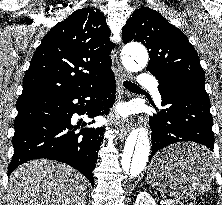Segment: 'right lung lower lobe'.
<instances>
[{
    "label": "right lung lower lobe",
    "instance_id": "98d812e1",
    "mask_svg": "<svg viewBox=\"0 0 222 205\" xmlns=\"http://www.w3.org/2000/svg\"><path fill=\"white\" fill-rule=\"evenodd\" d=\"M115 91V78L111 72L67 95L19 99L12 138L14 155L8 176L24 162L46 158L74 167L93 184L92 171L98 159L104 130L83 128L75 132L87 123L79 121L74 125L71 118L74 113L87 114L92 118L107 114L114 104ZM75 99H78V103H73Z\"/></svg>",
    "mask_w": 222,
    "mask_h": 205
}]
</instances>
